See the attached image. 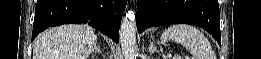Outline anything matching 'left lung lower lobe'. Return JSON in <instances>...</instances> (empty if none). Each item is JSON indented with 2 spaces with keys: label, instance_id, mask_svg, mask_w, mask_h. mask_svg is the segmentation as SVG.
Instances as JSON below:
<instances>
[{
  "label": "left lung lower lobe",
  "instance_id": "left-lung-lower-lobe-1",
  "mask_svg": "<svg viewBox=\"0 0 261 59\" xmlns=\"http://www.w3.org/2000/svg\"><path fill=\"white\" fill-rule=\"evenodd\" d=\"M217 0H137V30L152 26L187 23L208 31L221 46Z\"/></svg>",
  "mask_w": 261,
  "mask_h": 59
}]
</instances>
